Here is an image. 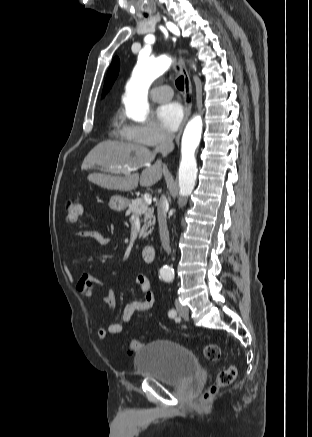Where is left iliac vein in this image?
Segmentation results:
<instances>
[{"instance_id": "1", "label": "left iliac vein", "mask_w": 312, "mask_h": 437, "mask_svg": "<svg viewBox=\"0 0 312 437\" xmlns=\"http://www.w3.org/2000/svg\"><path fill=\"white\" fill-rule=\"evenodd\" d=\"M175 306L179 315L187 319L189 316V309L186 306H183L178 300L175 301Z\"/></svg>"}]
</instances>
